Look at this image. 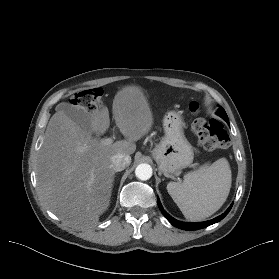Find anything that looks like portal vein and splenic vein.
Listing matches in <instances>:
<instances>
[{"mask_svg":"<svg viewBox=\"0 0 279 279\" xmlns=\"http://www.w3.org/2000/svg\"><path fill=\"white\" fill-rule=\"evenodd\" d=\"M104 144H111L113 142L112 138H108L102 141Z\"/></svg>","mask_w":279,"mask_h":279,"instance_id":"portal-vein-and-splenic-vein-1","label":"portal vein and splenic vein"}]
</instances>
